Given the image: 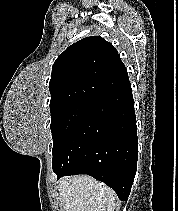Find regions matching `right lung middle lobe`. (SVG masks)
<instances>
[{"mask_svg":"<svg viewBox=\"0 0 178 211\" xmlns=\"http://www.w3.org/2000/svg\"><path fill=\"white\" fill-rule=\"evenodd\" d=\"M96 102L95 100L82 99L50 108L53 138L52 153L86 116Z\"/></svg>","mask_w":178,"mask_h":211,"instance_id":"dd1d6c3e","label":"right lung middle lobe"}]
</instances>
